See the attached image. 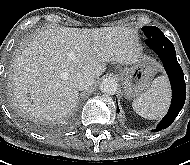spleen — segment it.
<instances>
[{
	"label": "spleen",
	"mask_w": 190,
	"mask_h": 165,
	"mask_svg": "<svg viewBox=\"0 0 190 165\" xmlns=\"http://www.w3.org/2000/svg\"><path fill=\"white\" fill-rule=\"evenodd\" d=\"M170 98L169 82L167 77L162 75L154 79L149 89L133 101L132 107L141 117L157 120L167 112Z\"/></svg>",
	"instance_id": "1"
}]
</instances>
